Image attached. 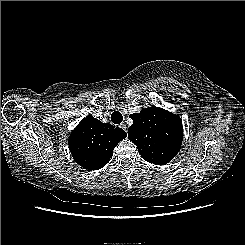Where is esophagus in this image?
<instances>
[{"instance_id": "obj_1", "label": "esophagus", "mask_w": 245, "mask_h": 245, "mask_svg": "<svg viewBox=\"0 0 245 245\" xmlns=\"http://www.w3.org/2000/svg\"><path fill=\"white\" fill-rule=\"evenodd\" d=\"M120 127H121L124 131H127V126H126V124L121 123V124H120Z\"/></svg>"}]
</instances>
